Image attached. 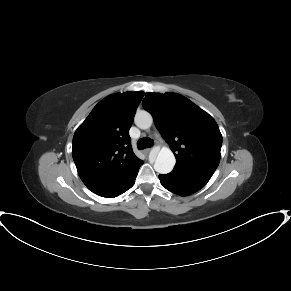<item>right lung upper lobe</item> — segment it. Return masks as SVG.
<instances>
[{"instance_id": "cb5924a9", "label": "right lung upper lobe", "mask_w": 291, "mask_h": 291, "mask_svg": "<svg viewBox=\"0 0 291 291\" xmlns=\"http://www.w3.org/2000/svg\"><path fill=\"white\" fill-rule=\"evenodd\" d=\"M144 92L101 100L73 137L72 156L83 183L94 193L124 185L143 163L132 150L129 129Z\"/></svg>"}]
</instances>
